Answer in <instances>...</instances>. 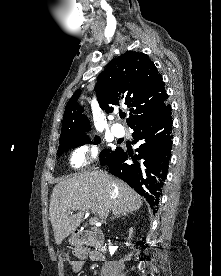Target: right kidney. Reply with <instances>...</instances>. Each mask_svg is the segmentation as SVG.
<instances>
[{"label":"right kidney","instance_id":"right-kidney-1","mask_svg":"<svg viewBox=\"0 0 221 276\" xmlns=\"http://www.w3.org/2000/svg\"><path fill=\"white\" fill-rule=\"evenodd\" d=\"M133 233V228H130V231H129V238H131V234ZM127 245H129L128 243H127Z\"/></svg>","mask_w":221,"mask_h":276}]
</instances>
